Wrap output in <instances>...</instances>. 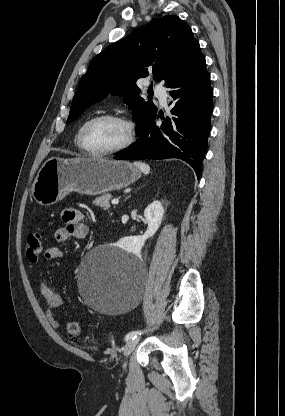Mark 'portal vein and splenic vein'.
Masks as SVG:
<instances>
[{"label": "portal vein and splenic vein", "mask_w": 285, "mask_h": 416, "mask_svg": "<svg viewBox=\"0 0 285 416\" xmlns=\"http://www.w3.org/2000/svg\"><path fill=\"white\" fill-rule=\"evenodd\" d=\"M111 204H119V200H111Z\"/></svg>", "instance_id": "obj_1"}]
</instances>
